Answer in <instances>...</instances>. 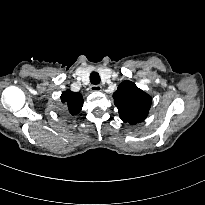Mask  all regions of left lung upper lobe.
<instances>
[{"instance_id":"obj_1","label":"left lung upper lobe","mask_w":205,"mask_h":205,"mask_svg":"<svg viewBox=\"0 0 205 205\" xmlns=\"http://www.w3.org/2000/svg\"><path fill=\"white\" fill-rule=\"evenodd\" d=\"M113 98L122 121L132 125L142 122L151 107V97L131 81L119 84Z\"/></svg>"}]
</instances>
